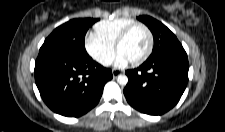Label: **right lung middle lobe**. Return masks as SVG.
Listing matches in <instances>:
<instances>
[{"mask_svg":"<svg viewBox=\"0 0 225 132\" xmlns=\"http://www.w3.org/2000/svg\"><path fill=\"white\" fill-rule=\"evenodd\" d=\"M98 19H73L57 27L44 41L40 50H54L63 53L88 55L84 39L88 28Z\"/></svg>","mask_w":225,"mask_h":132,"instance_id":"1","label":"right lung middle lobe"}]
</instances>
